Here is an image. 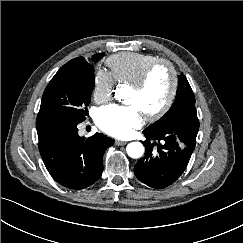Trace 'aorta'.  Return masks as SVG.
Here are the masks:
<instances>
[{"instance_id":"762f6f07","label":"aorta","mask_w":243,"mask_h":243,"mask_svg":"<svg viewBox=\"0 0 243 243\" xmlns=\"http://www.w3.org/2000/svg\"><path fill=\"white\" fill-rule=\"evenodd\" d=\"M115 97L122 98V92L118 90ZM126 151L131 158H140L144 154V146L140 142H131L127 145Z\"/></svg>"}]
</instances>
